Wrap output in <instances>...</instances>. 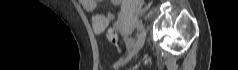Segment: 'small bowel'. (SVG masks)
Returning <instances> with one entry per match:
<instances>
[{
    "instance_id": "1",
    "label": "small bowel",
    "mask_w": 238,
    "mask_h": 70,
    "mask_svg": "<svg viewBox=\"0 0 238 70\" xmlns=\"http://www.w3.org/2000/svg\"><path fill=\"white\" fill-rule=\"evenodd\" d=\"M80 3L85 11L94 13L92 16V26L96 33H102L109 25V22L114 19L111 12L95 13L98 7L96 0H80ZM113 3L118 4V0H113Z\"/></svg>"
}]
</instances>
